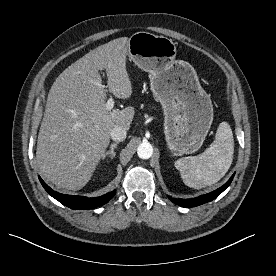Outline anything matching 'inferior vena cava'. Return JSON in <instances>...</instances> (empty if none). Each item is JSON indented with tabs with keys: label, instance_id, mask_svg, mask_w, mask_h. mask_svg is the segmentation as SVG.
Instances as JSON below:
<instances>
[{
	"label": "inferior vena cava",
	"instance_id": "obj_1",
	"mask_svg": "<svg viewBox=\"0 0 276 276\" xmlns=\"http://www.w3.org/2000/svg\"><path fill=\"white\" fill-rule=\"evenodd\" d=\"M126 135H127L126 129L121 126L114 127L110 132V136L112 140L116 142L124 141L126 138Z\"/></svg>",
	"mask_w": 276,
	"mask_h": 276
}]
</instances>
